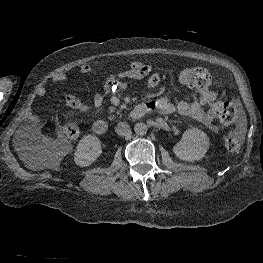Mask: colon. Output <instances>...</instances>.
<instances>
[{
  "label": "colon",
  "mask_w": 263,
  "mask_h": 263,
  "mask_svg": "<svg viewBox=\"0 0 263 263\" xmlns=\"http://www.w3.org/2000/svg\"><path fill=\"white\" fill-rule=\"evenodd\" d=\"M180 82L189 88L197 90L203 103L209 105L210 116L222 125H230L236 118L237 110L233 103L217 100L212 90V77L208 70L202 67L184 69L179 76ZM63 133L70 140L79 136V127L75 122L63 126ZM224 144L231 152L240 151L243 135L240 131H231L224 136Z\"/></svg>",
  "instance_id": "5ec220e1"
}]
</instances>
